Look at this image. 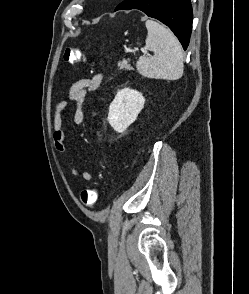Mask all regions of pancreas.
<instances>
[{
	"label": "pancreas",
	"instance_id": "pancreas-1",
	"mask_svg": "<svg viewBox=\"0 0 249 294\" xmlns=\"http://www.w3.org/2000/svg\"><path fill=\"white\" fill-rule=\"evenodd\" d=\"M118 67L121 69V70H130L131 69V66L130 64L128 63L127 60H123L121 62H118Z\"/></svg>",
	"mask_w": 249,
	"mask_h": 294
}]
</instances>
